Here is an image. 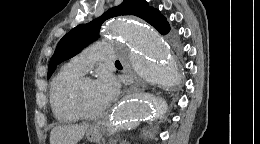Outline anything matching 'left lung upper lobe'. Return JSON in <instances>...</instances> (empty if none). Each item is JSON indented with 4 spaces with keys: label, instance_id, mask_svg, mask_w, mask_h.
Returning a JSON list of instances; mask_svg holds the SVG:
<instances>
[{
    "label": "left lung upper lobe",
    "instance_id": "left-lung-upper-lobe-1",
    "mask_svg": "<svg viewBox=\"0 0 260 144\" xmlns=\"http://www.w3.org/2000/svg\"><path fill=\"white\" fill-rule=\"evenodd\" d=\"M121 15L140 17L163 35L170 31V26L166 18L159 10L150 7L146 1L123 0L119 6L109 9L102 16L90 23L76 26L59 41L49 62L47 78L52 75L59 63L75 56L89 43L93 42L98 37L100 27L105 20Z\"/></svg>",
    "mask_w": 260,
    "mask_h": 144
}]
</instances>
